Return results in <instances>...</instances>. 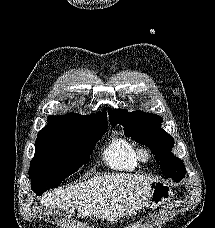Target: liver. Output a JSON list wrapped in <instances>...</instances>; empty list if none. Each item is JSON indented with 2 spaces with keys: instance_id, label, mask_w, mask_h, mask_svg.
I'll use <instances>...</instances> for the list:
<instances>
[{
  "instance_id": "1",
  "label": "liver",
  "mask_w": 215,
  "mask_h": 228,
  "mask_svg": "<svg viewBox=\"0 0 215 228\" xmlns=\"http://www.w3.org/2000/svg\"><path fill=\"white\" fill-rule=\"evenodd\" d=\"M152 182L156 180L138 174L93 176L86 182L44 194L40 204L61 208L70 216L77 210L78 218H95L117 224L118 220L123 222L124 216L129 220V216H136L151 204Z\"/></svg>"
}]
</instances>
